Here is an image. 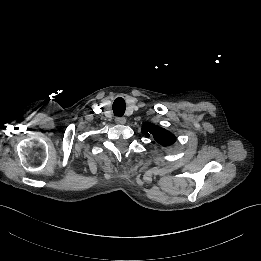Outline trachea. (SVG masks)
I'll return each mask as SVG.
<instances>
[{
	"label": "trachea",
	"mask_w": 261,
	"mask_h": 261,
	"mask_svg": "<svg viewBox=\"0 0 261 261\" xmlns=\"http://www.w3.org/2000/svg\"><path fill=\"white\" fill-rule=\"evenodd\" d=\"M126 110V104L123 98H117L113 103V113L115 116H123Z\"/></svg>",
	"instance_id": "obj_1"
}]
</instances>
